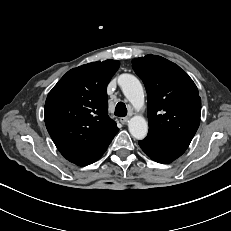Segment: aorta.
Returning a JSON list of instances; mask_svg holds the SVG:
<instances>
[{"instance_id":"762f6f07","label":"aorta","mask_w":231,"mask_h":231,"mask_svg":"<svg viewBox=\"0 0 231 231\" xmlns=\"http://www.w3.org/2000/svg\"><path fill=\"white\" fill-rule=\"evenodd\" d=\"M118 83L133 107L136 110L141 109L144 105V91L140 81L134 75L122 74L118 78ZM128 128L130 134L138 140H142L147 136L148 123L140 115H135L129 120Z\"/></svg>"}]
</instances>
